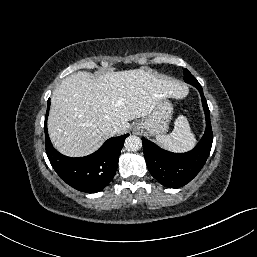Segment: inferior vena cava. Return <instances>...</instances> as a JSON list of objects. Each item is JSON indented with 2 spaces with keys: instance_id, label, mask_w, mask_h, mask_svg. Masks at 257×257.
I'll use <instances>...</instances> for the list:
<instances>
[{
  "instance_id": "inferior-vena-cava-1",
  "label": "inferior vena cava",
  "mask_w": 257,
  "mask_h": 257,
  "mask_svg": "<svg viewBox=\"0 0 257 257\" xmlns=\"http://www.w3.org/2000/svg\"><path fill=\"white\" fill-rule=\"evenodd\" d=\"M108 132L111 134V135H114L118 132V127L117 126H109L107 128Z\"/></svg>"
}]
</instances>
